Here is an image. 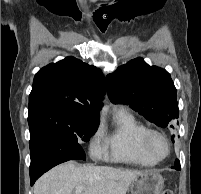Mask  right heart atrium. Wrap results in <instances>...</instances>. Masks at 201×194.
Instances as JSON below:
<instances>
[{
    "label": "right heart atrium",
    "instance_id": "d8ad5b80",
    "mask_svg": "<svg viewBox=\"0 0 201 194\" xmlns=\"http://www.w3.org/2000/svg\"><path fill=\"white\" fill-rule=\"evenodd\" d=\"M100 130H98L91 139V151L93 154L98 155L100 152Z\"/></svg>",
    "mask_w": 201,
    "mask_h": 194
}]
</instances>
